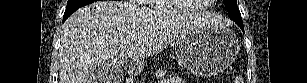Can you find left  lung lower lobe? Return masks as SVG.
Masks as SVG:
<instances>
[{
    "label": "left lung lower lobe",
    "instance_id": "obj_1",
    "mask_svg": "<svg viewBox=\"0 0 307 83\" xmlns=\"http://www.w3.org/2000/svg\"><path fill=\"white\" fill-rule=\"evenodd\" d=\"M241 29H242V31H244V26H243V24H240V25H238Z\"/></svg>",
    "mask_w": 307,
    "mask_h": 83
}]
</instances>
